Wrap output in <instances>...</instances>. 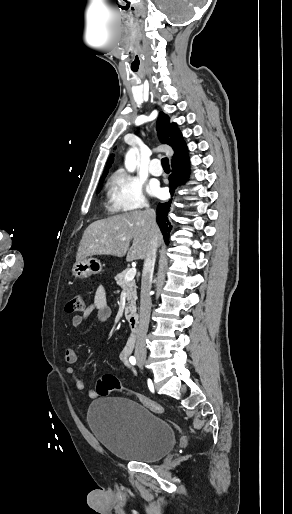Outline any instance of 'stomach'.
Instances as JSON below:
<instances>
[{
  "label": "stomach",
  "instance_id": "0dacf381",
  "mask_svg": "<svg viewBox=\"0 0 292 514\" xmlns=\"http://www.w3.org/2000/svg\"><path fill=\"white\" fill-rule=\"evenodd\" d=\"M102 264L96 258H82L79 262H75L72 268V274L75 278H89L92 274H100Z\"/></svg>",
  "mask_w": 292,
  "mask_h": 514
}]
</instances>
